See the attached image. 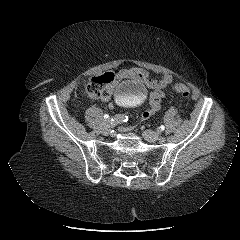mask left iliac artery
Wrapping results in <instances>:
<instances>
[{"instance_id": "left-iliac-artery-1", "label": "left iliac artery", "mask_w": 240, "mask_h": 240, "mask_svg": "<svg viewBox=\"0 0 240 240\" xmlns=\"http://www.w3.org/2000/svg\"><path fill=\"white\" fill-rule=\"evenodd\" d=\"M169 135V132L168 131H165L164 133H159V138H160V140H165V138L167 137Z\"/></svg>"}]
</instances>
